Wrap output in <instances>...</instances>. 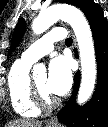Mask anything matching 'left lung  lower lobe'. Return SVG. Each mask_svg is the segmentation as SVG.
I'll use <instances>...</instances> for the list:
<instances>
[{"label":"left lung lower lobe","instance_id":"1","mask_svg":"<svg viewBox=\"0 0 108 127\" xmlns=\"http://www.w3.org/2000/svg\"><path fill=\"white\" fill-rule=\"evenodd\" d=\"M79 8L86 15L93 33L98 67V80L91 100L77 106L75 96L80 84V72L74 77V88L69 103L57 114L60 122L68 127L108 126V22L102 8L93 0H84Z\"/></svg>","mask_w":108,"mask_h":127}]
</instances>
